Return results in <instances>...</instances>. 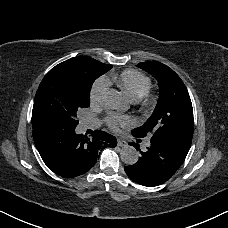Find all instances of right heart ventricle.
I'll return each instance as SVG.
<instances>
[{
    "label": "right heart ventricle",
    "mask_w": 228,
    "mask_h": 228,
    "mask_svg": "<svg viewBox=\"0 0 228 228\" xmlns=\"http://www.w3.org/2000/svg\"><path fill=\"white\" fill-rule=\"evenodd\" d=\"M102 80L106 86L115 85L119 89V92H111L121 93L132 99L144 96L151 87L150 78L136 70L104 74Z\"/></svg>",
    "instance_id": "e07e8e85"
}]
</instances>
